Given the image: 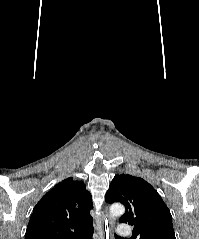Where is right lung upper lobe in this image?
Listing matches in <instances>:
<instances>
[{
  "label": "right lung upper lobe",
  "instance_id": "1",
  "mask_svg": "<svg viewBox=\"0 0 199 239\" xmlns=\"http://www.w3.org/2000/svg\"><path fill=\"white\" fill-rule=\"evenodd\" d=\"M91 194L80 180L67 178L36 204L25 239H74L93 228Z\"/></svg>",
  "mask_w": 199,
  "mask_h": 239
}]
</instances>
